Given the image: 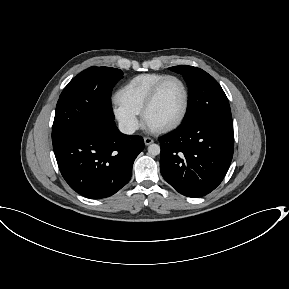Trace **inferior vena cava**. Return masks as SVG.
I'll return each mask as SVG.
<instances>
[{
    "instance_id": "inferior-vena-cava-1",
    "label": "inferior vena cava",
    "mask_w": 289,
    "mask_h": 289,
    "mask_svg": "<svg viewBox=\"0 0 289 289\" xmlns=\"http://www.w3.org/2000/svg\"><path fill=\"white\" fill-rule=\"evenodd\" d=\"M118 128L120 132L128 135L133 134L137 129L136 125L126 122H120Z\"/></svg>"
}]
</instances>
